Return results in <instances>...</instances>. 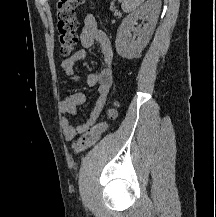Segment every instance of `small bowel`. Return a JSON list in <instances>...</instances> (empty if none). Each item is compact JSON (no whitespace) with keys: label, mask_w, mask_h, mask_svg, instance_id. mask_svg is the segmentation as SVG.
Instances as JSON below:
<instances>
[{"label":"small bowel","mask_w":216,"mask_h":217,"mask_svg":"<svg viewBox=\"0 0 216 217\" xmlns=\"http://www.w3.org/2000/svg\"><path fill=\"white\" fill-rule=\"evenodd\" d=\"M81 49L61 62V69L68 77L75 75L76 64L87 56V50L94 44L100 47L102 60L101 69L87 76L89 86H97V98L88 119L78 125H73L67 117L61 121L60 127L65 141H72L94 124L100 117L113 84V50L106 34L101 31L95 17L88 14L83 21V28L79 36ZM86 102V94L75 92L59 102V110L64 115H76L77 107Z\"/></svg>","instance_id":"c3829d8e"}]
</instances>
